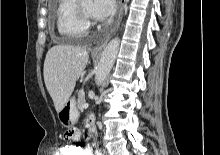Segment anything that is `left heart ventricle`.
I'll list each match as a JSON object with an SVG mask.
<instances>
[{"label": "left heart ventricle", "instance_id": "obj_1", "mask_svg": "<svg viewBox=\"0 0 220 155\" xmlns=\"http://www.w3.org/2000/svg\"><path fill=\"white\" fill-rule=\"evenodd\" d=\"M81 4L84 8V10L92 15V5H93V0H81Z\"/></svg>", "mask_w": 220, "mask_h": 155}]
</instances>
